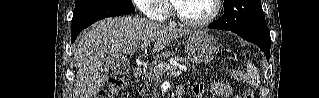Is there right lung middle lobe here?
I'll use <instances>...</instances> for the list:
<instances>
[{
    "label": "right lung middle lobe",
    "mask_w": 319,
    "mask_h": 98,
    "mask_svg": "<svg viewBox=\"0 0 319 98\" xmlns=\"http://www.w3.org/2000/svg\"><path fill=\"white\" fill-rule=\"evenodd\" d=\"M101 7H122V8H133L131 0H76L75 1V12L101 8Z\"/></svg>",
    "instance_id": "right-lung-middle-lobe-1"
}]
</instances>
